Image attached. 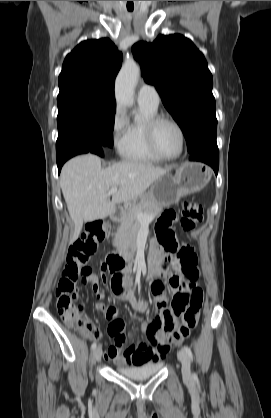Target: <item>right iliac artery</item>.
Wrapping results in <instances>:
<instances>
[{
    "label": "right iliac artery",
    "instance_id": "1",
    "mask_svg": "<svg viewBox=\"0 0 271 418\" xmlns=\"http://www.w3.org/2000/svg\"><path fill=\"white\" fill-rule=\"evenodd\" d=\"M96 345H97V344H96V342H94V343L91 345V349H92V350H94V349L96 348Z\"/></svg>",
    "mask_w": 271,
    "mask_h": 418
}]
</instances>
